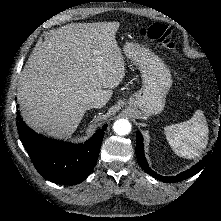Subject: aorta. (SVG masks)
I'll return each mask as SVG.
<instances>
[{"label":"aorta","instance_id":"aorta-1","mask_svg":"<svg viewBox=\"0 0 221 221\" xmlns=\"http://www.w3.org/2000/svg\"><path fill=\"white\" fill-rule=\"evenodd\" d=\"M114 132L117 135L124 136L130 133L131 131V124L128 120L126 119H119L115 121L113 125Z\"/></svg>","mask_w":221,"mask_h":221}]
</instances>
